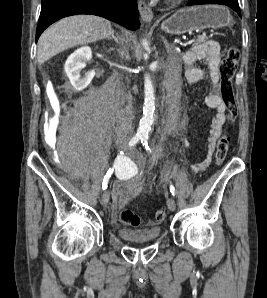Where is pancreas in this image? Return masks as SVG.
<instances>
[{
  "label": "pancreas",
  "mask_w": 267,
  "mask_h": 298,
  "mask_svg": "<svg viewBox=\"0 0 267 298\" xmlns=\"http://www.w3.org/2000/svg\"><path fill=\"white\" fill-rule=\"evenodd\" d=\"M207 40V37L205 35H199L195 40H194V45H198L200 43H203Z\"/></svg>",
  "instance_id": "pancreas-1"
}]
</instances>
